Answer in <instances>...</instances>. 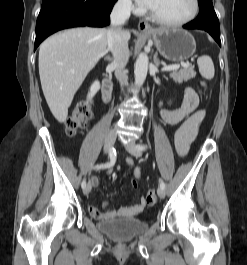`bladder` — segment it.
Here are the masks:
<instances>
[{"label": "bladder", "mask_w": 247, "mask_h": 265, "mask_svg": "<svg viewBox=\"0 0 247 265\" xmlns=\"http://www.w3.org/2000/svg\"><path fill=\"white\" fill-rule=\"evenodd\" d=\"M98 227L116 241H127L144 233L148 229V223L137 218H119L102 220Z\"/></svg>", "instance_id": "bladder-1"}]
</instances>
